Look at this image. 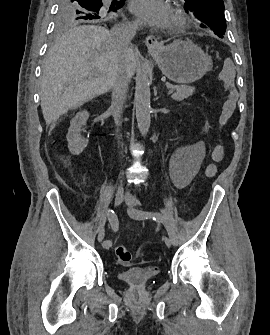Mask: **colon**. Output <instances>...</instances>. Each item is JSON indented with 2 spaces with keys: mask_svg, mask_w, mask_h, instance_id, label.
I'll return each instance as SVG.
<instances>
[{
  "mask_svg": "<svg viewBox=\"0 0 270 335\" xmlns=\"http://www.w3.org/2000/svg\"><path fill=\"white\" fill-rule=\"evenodd\" d=\"M222 68H221V79H222V88L223 89H234L235 83L233 82V73L235 68V58L234 57H222L221 58ZM220 109H223L222 112L218 113L219 119H230L233 111L235 109V102H233L232 97H225L224 102H220ZM214 155H225L226 149L225 148H214L213 149ZM215 163H226L227 157L226 156H215L214 157ZM214 172V168L211 167L208 170V174ZM116 257L119 262L121 263H129L132 259L131 252L128 248L124 245H118L116 247Z\"/></svg>",
  "mask_w": 270,
  "mask_h": 335,
  "instance_id": "obj_1",
  "label": "colon"
}]
</instances>
